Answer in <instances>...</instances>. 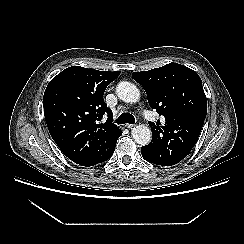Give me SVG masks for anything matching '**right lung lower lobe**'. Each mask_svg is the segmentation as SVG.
Masks as SVG:
<instances>
[{
    "label": "right lung lower lobe",
    "instance_id": "right-lung-lower-lobe-1",
    "mask_svg": "<svg viewBox=\"0 0 244 244\" xmlns=\"http://www.w3.org/2000/svg\"><path fill=\"white\" fill-rule=\"evenodd\" d=\"M121 134H122V132L120 131V133H119V135H118V138L121 136ZM117 138V139H118ZM117 141V140H116ZM115 147H116V142H115V144L113 145V147L110 149V151L104 156V158H102V159H100V160H98V161H96V162H93V163H89V164H83V165H81V166H93V165H96V164H99V163H102V162H104V161H106V160H108L111 156H112V154H113V152H114V150H115Z\"/></svg>",
    "mask_w": 244,
    "mask_h": 244
}]
</instances>
